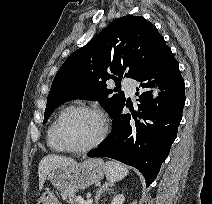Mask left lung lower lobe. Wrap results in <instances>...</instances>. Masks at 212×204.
<instances>
[{
	"instance_id": "obj_1",
	"label": "left lung lower lobe",
	"mask_w": 212,
	"mask_h": 204,
	"mask_svg": "<svg viewBox=\"0 0 212 204\" xmlns=\"http://www.w3.org/2000/svg\"><path fill=\"white\" fill-rule=\"evenodd\" d=\"M155 79L152 81V79ZM139 111L125 101L112 115L113 129L89 157H109L137 168L148 187L176 139L185 104L184 80L170 48L159 55L136 78ZM159 84L161 93L152 100L149 88ZM129 107L131 114H124Z\"/></svg>"
}]
</instances>
